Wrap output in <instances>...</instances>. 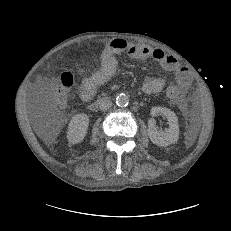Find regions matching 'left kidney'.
<instances>
[{"label":"left kidney","mask_w":231,"mask_h":231,"mask_svg":"<svg viewBox=\"0 0 231 231\" xmlns=\"http://www.w3.org/2000/svg\"><path fill=\"white\" fill-rule=\"evenodd\" d=\"M151 115L152 117L156 115L165 116L168 120L169 128L164 132L158 131L155 120L153 118L149 119L148 135L150 140L161 147L176 143L179 138V124L176 114L165 107H152Z\"/></svg>","instance_id":"obj_1"}]
</instances>
